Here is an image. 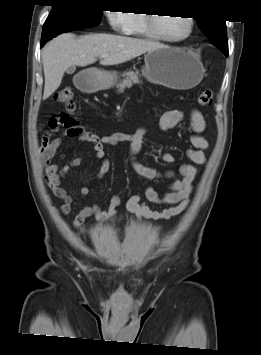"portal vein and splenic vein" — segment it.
Returning a JSON list of instances; mask_svg holds the SVG:
<instances>
[{
    "label": "portal vein and splenic vein",
    "mask_w": 261,
    "mask_h": 355,
    "mask_svg": "<svg viewBox=\"0 0 261 355\" xmlns=\"http://www.w3.org/2000/svg\"><path fill=\"white\" fill-rule=\"evenodd\" d=\"M108 55H109L108 53H104V54H102L100 57H101V58H106V57H108Z\"/></svg>",
    "instance_id": "18ae733b"
}]
</instances>
